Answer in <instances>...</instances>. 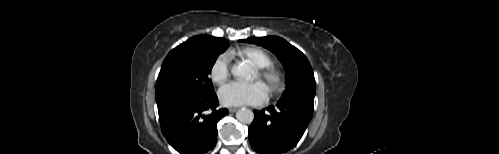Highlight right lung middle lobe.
Instances as JSON below:
<instances>
[{"label":"right lung middle lobe","mask_w":499,"mask_h":154,"mask_svg":"<svg viewBox=\"0 0 499 154\" xmlns=\"http://www.w3.org/2000/svg\"><path fill=\"white\" fill-rule=\"evenodd\" d=\"M229 45L226 39L199 35L171 50L157 79L156 100L177 95L205 98L215 93L209 74Z\"/></svg>","instance_id":"right-lung-middle-lobe-1"}]
</instances>
